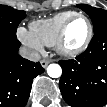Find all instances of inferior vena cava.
I'll return each mask as SVG.
<instances>
[{"instance_id":"602c4592","label":"inferior vena cava","mask_w":107,"mask_h":107,"mask_svg":"<svg viewBox=\"0 0 107 107\" xmlns=\"http://www.w3.org/2000/svg\"><path fill=\"white\" fill-rule=\"evenodd\" d=\"M19 54L23 58H26V59L33 61V62H38L41 59V56L38 52H36L30 48H27V47H21L19 49Z\"/></svg>"}]
</instances>
